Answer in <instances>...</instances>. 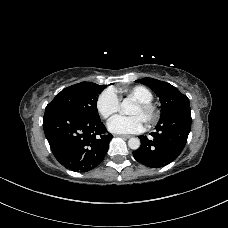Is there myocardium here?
Returning a JSON list of instances; mask_svg holds the SVG:
<instances>
[{
  "label": "myocardium",
  "instance_id": "myocardium-1",
  "mask_svg": "<svg viewBox=\"0 0 228 228\" xmlns=\"http://www.w3.org/2000/svg\"><path fill=\"white\" fill-rule=\"evenodd\" d=\"M137 105L147 116L146 124L153 125L157 122L159 118V109L152 102H135Z\"/></svg>",
  "mask_w": 228,
  "mask_h": 228
}]
</instances>
